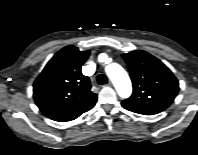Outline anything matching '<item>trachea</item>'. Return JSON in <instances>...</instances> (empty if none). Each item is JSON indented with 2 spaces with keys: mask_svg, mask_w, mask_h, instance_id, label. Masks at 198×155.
I'll return each mask as SVG.
<instances>
[{
  "mask_svg": "<svg viewBox=\"0 0 198 155\" xmlns=\"http://www.w3.org/2000/svg\"><path fill=\"white\" fill-rule=\"evenodd\" d=\"M97 82H98V84L103 85L108 82V79L104 74H100L97 76Z\"/></svg>",
  "mask_w": 198,
  "mask_h": 155,
  "instance_id": "trachea-1",
  "label": "trachea"
}]
</instances>
